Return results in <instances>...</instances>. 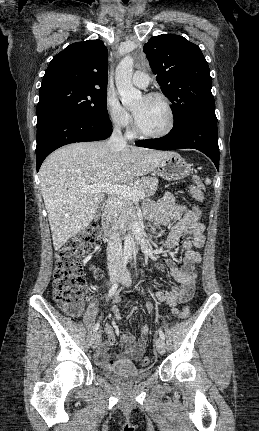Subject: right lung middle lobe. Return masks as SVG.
Segmentation results:
<instances>
[{
	"instance_id": "dd1d6c3e",
	"label": "right lung middle lobe",
	"mask_w": 259,
	"mask_h": 431,
	"mask_svg": "<svg viewBox=\"0 0 259 431\" xmlns=\"http://www.w3.org/2000/svg\"><path fill=\"white\" fill-rule=\"evenodd\" d=\"M37 119L57 113L71 112L95 119H108L106 89L54 83L39 92Z\"/></svg>"
}]
</instances>
